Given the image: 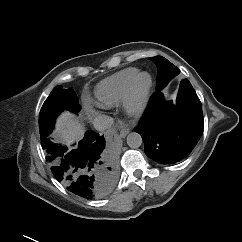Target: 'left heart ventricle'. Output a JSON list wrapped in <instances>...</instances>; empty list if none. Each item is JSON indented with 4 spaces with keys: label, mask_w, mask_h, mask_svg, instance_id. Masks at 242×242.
<instances>
[{
    "label": "left heart ventricle",
    "mask_w": 242,
    "mask_h": 242,
    "mask_svg": "<svg viewBox=\"0 0 242 242\" xmlns=\"http://www.w3.org/2000/svg\"><path fill=\"white\" fill-rule=\"evenodd\" d=\"M144 80H145V79H144V78H142L140 82H141V83H143V82H144Z\"/></svg>",
    "instance_id": "left-heart-ventricle-1"
}]
</instances>
